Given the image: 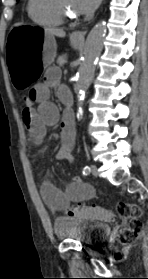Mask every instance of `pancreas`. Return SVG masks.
<instances>
[{"label": "pancreas", "instance_id": "cf45deb5", "mask_svg": "<svg viewBox=\"0 0 148 279\" xmlns=\"http://www.w3.org/2000/svg\"><path fill=\"white\" fill-rule=\"evenodd\" d=\"M65 62H66V56H65V55H62V56H60V57L57 59V63H58L60 66H63Z\"/></svg>", "mask_w": 148, "mask_h": 279}]
</instances>
